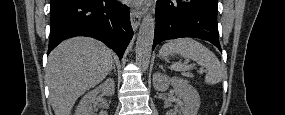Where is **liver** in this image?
Listing matches in <instances>:
<instances>
[{"label": "liver", "mask_w": 285, "mask_h": 115, "mask_svg": "<svg viewBox=\"0 0 285 115\" xmlns=\"http://www.w3.org/2000/svg\"><path fill=\"white\" fill-rule=\"evenodd\" d=\"M112 51L100 41L76 37L49 55L46 79L55 115H70L76 100L112 70Z\"/></svg>", "instance_id": "6515ba94"}]
</instances>
